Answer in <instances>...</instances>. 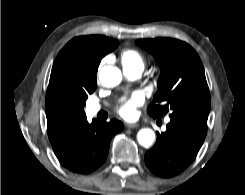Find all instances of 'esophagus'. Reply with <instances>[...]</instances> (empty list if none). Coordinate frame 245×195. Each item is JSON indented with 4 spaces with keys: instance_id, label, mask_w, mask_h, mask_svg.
<instances>
[{
    "instance_id": "1",
    "label": "esophagus",
    "mask_w": 245,
    "mask_h": 195,
    "mask_svg": "<svg viewBox=\"0 0 245 195\" xmlns=\"http://www.w3.org/2000/svg\"><path fill=\"white\" fill-rule=\"evenodd\" d=\"M126 127L129 128V129H134V128L139 127V124H137V123H134V124H126Z\"/></svg>"
}]
</instances>
